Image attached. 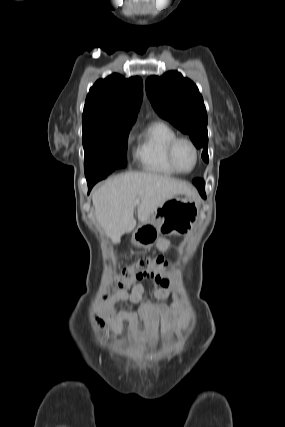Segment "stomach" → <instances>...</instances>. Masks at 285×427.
<instances>
[{
	"label": "stomach",
	"instance_id": "obj_1",
	"mask_svg": "<svg viewBox=\"0 0 285 427\" xmlns=\"http://www.w3.org/2000/svg\"><path fill=\"white\" fill-rule=\"evenodd\" d=\"M200 204L188 195L174 196L161 205L133 233L132 241L140 247H149L160 234L189 232L198 220Z\"/></svg>",
	"mask_w": 285,
	"mask_h": 427
}]
</instances>
